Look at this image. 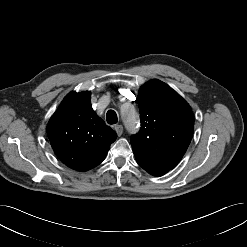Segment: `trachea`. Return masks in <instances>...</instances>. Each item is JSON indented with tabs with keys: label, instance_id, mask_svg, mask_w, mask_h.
<instances>
[{
	"label": "trachea",
	"instance_id": "3493384b",
	"mask_svg": "<svg viewBox=\"0 0 247 247\" xmlns=\"http://www.w3.org/2000/svg\"><path fill=\"white\" fill-rule=\"evenodd\" d=\"M108 124H116L118 122L117 114L114 110H108L106 114Z\"/></svg>",
	"mask_w": 247,
	"mask_h": 247
}]
</instances>
